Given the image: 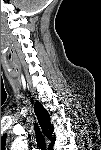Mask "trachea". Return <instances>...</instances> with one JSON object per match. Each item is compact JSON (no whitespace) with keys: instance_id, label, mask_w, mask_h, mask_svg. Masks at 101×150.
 I'll return each mask as SVG.
<instances>
[{"instance_id":"3493384b","label":"trachea","mask_w":101,"mask_h":150,"mask_svg":"<svg viewBox=\"0 0 101 150\" xmlns=\"http://www.w3.org/2000/svg\"><path fill=\"white\" fill-rule=\"evenodd\" d=\"M35 133H36V141H37V145L39 146V148L41 150H46V142H45V138L42 135L37 123L35 124Z\"/></svg>"}]
</instances>
